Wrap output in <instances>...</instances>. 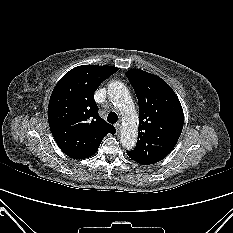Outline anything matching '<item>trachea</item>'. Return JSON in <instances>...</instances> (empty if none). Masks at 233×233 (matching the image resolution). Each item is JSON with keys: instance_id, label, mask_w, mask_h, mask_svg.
I'll use <instances>...</instances> for the list:
<instances>
[{"instance_id": "trachea-1", "label": "trachea", "mask_w": 233, "mask_h": 233, "mask_svg": "<svg viewBox=\"0 0 233 233\" xmlns=\"http://www.w3.org/2000/svg\"><path fill=\"white\" fill-rule=\"evenodd\" d=\"M118 120V116L115 112H110L107 116V121L111 124H115Z\"/></svg>"}]
</instances>
